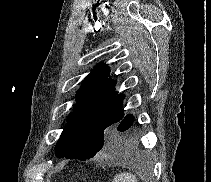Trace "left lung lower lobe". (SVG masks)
<instances>
[{
  "label": "left lung lower lobe",
  "instance_id": "1",
  "mask_svg": "<svg viewBox=\"0 0 211 182\" xmlns=\"http://www.w3.org/2000/svg\"><path fill=\"white\" fill-rule=\"evenodd\" d=\"M133 122V115L128 114L123 117L117 128L114 130L113 134H111L109 142L118 147H124L126 144H128V138L125 131H127L132 126Z\"/></svg>",
  "mask_w": 211,
  "mask_h": 182
}]
</instances>
